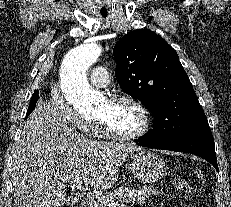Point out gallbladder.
Wrapping results in <instances>:
<instances>
[{"label":"gallbladder","mask_w":231,"mask_h":207,"mask_svg":"<svg viewBox=\"0 0 231 207\" xmlns=\"http://www.w3.org/2000/svg\"><path fill=\"white\" fill-rule=\"evenodd\" d=\"M76 202V199L70 198L67 200V204H74Z\"/></svg>","instance_id":"obj_1"}]
</instances>
